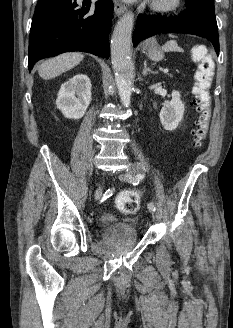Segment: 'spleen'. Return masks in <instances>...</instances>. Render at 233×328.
Listing matches in <instances>:
<instances>
[{"label": "spleen", "mask_w": 233, "mask_h": 328, "mask_svg": "<svg viewBox=\"0 0 233 328\" xmlns=\"http://www.w3.org/2000/svg\"><path fill=\"white\" fill-rule=\"evenodd\" d=\"M162 49L166 52H170V51L183 52V49L178 46L177 41L175 40L167 41L163 45Z\"/></svg>", "instance_id": "spleen-1"}]
</instances>
